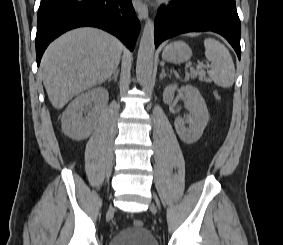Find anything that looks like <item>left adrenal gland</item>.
Segmentation results:
<instances>
[{
	"label": "left adrenal gland",
	"mask_w": 283,
	"mask_h": 245,
	"mask_svg": "<svg viewBox=\"0 0 283 245\" xmlns=\"http://www.w3.org/2000/svg\"><path fill=\"white\" fill-rule=\"evenodd\" d=\"M166 76L171 77V75L167 74V73L165 72V69L162 68V71H161V74H160L159 79L162 80V79H163L164 77H166Z\"/></svg>",
	"instance_id": "a2214340"
}]
</instances>
